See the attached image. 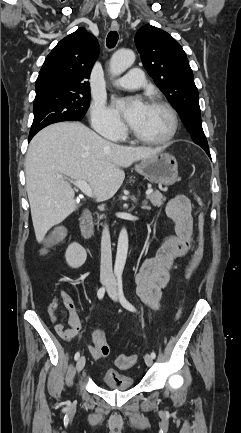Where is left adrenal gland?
Here are the masks:
<instances>
[{
    "instance_id": "obj_1",
    "label": "left adrenal gland",
    "mask_w": 241,
    "mask_h": 433,
    "mask_svg": "<svg viewBox=\"0 0 241 433\" xmlns=\"http://www.w3.org/2000/svg\"><path fill=\"white\" fill-rule=\"evenodd\" d=\"M143 203H144V205L142 206V209H144V210H150L151 209V207L146 205L147 204L146 201H144Z\"/></svg>"
}]
</instances>
